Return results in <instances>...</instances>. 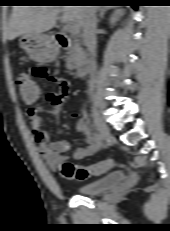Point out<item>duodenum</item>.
I'll return each mask as SVG.
<instances>
[{"mask_svg":"<svg viewBox=\"0 0 170 231\" xmlns=\"http://www.w3.org/2000/svg\"><path fill=\"white\" fill-rule=\"evenodd\" d=\"M56 39L58 41V44L62 48H67L70 45V41L66 34L63 32H59L56 34ZM74 69L76 73L80 76H85L90 72L91 69V60L89 56L85 53L80 54L75 63H74Z\"/></svg>","mask_w":170,"mask_h":231,"instance_id":"1","label":"duodenum"}]
</instances>
